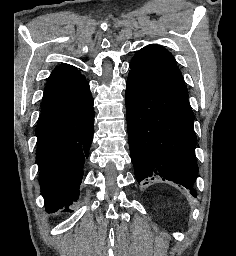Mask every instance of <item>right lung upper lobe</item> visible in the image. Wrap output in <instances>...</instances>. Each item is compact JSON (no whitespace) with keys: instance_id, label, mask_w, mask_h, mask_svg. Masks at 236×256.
I'll return each mask as SVG.
<instances>
[{"instance_id":"cb5924a9","label":"right lung upper lobe","mask_w":236,"mask_h":256,"mask_svg":"<svg viewBox=\"0 0 236 256\" xmlns=\"http://www.w3.org/2000/svg\"><path fill=\"white\" fill-rule=\"evenodd\" d=\"M85 81V77L75 66L62 63L53 70L48 78L43 95L42 109Z\"/></svg>"}]
</instances>
